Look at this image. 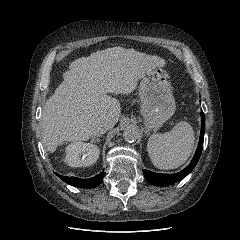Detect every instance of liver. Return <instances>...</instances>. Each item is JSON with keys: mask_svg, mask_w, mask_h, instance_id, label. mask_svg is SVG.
<instances>
[{"mask_svg": "<svg viewBox=\"0 0 240 240\" xmlns=\"http://www.w3.org/2000/svg\"><path fill=\"white\" fill-rule=\"evenodd\" d=\"M164 64L160 57L119 46L74 60L43 108L44 146L54 152L63 142L88 140L104 120L112 128L121 108L118 99L108 94L133 92L147 71Z\"/></svg>", "mask_w": 240, "mask_h": 240, "instance_id": "6515ba94", "label": "liver"}]
</instances>
